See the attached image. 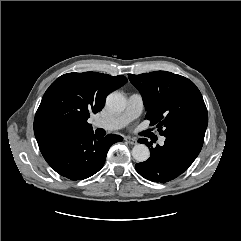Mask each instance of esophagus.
Instances as JSON below:
<instances>
[{"instance_id":"34e87169","label":"esophagus","mask_w":241,"mask_h":241,"mask_svg":"<svg viewBox=\"0 0 241 241\" xmlns=\"http://www.w3.org/2000/svg\"><path fill=\"white\" fill-rule=\"evenodd\" d=\"M125 141H126L127 143L131 144V145L137 144V140L134 139V138H131V137H126V138H125Z\"/></svg>"}]
</instances>
